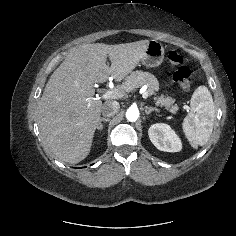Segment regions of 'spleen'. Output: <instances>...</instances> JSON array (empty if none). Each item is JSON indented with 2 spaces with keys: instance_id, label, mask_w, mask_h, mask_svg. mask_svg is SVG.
<instances>
[{
  "instance_id": "1",
  "label": "spleen",
  "mask_w": 236,
  "mask_h": 236,
  "mask_svg": "<svg viewBox=\"0 0 236 236\" xmlns=\"http://www.w3.org/2000/svg\"><path fill=\"white\" fill-rule=\"evenodd\" d=\"M215 106L210 91L205 86H199L193 93L190 102V113L183 120V131L197 149L209 140L214 125Z\"/></svg>"
}]
</instances>
